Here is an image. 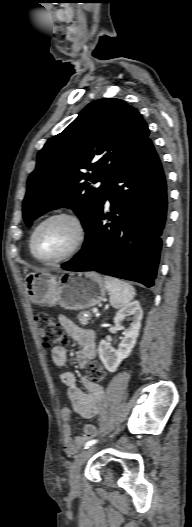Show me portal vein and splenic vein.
I'll return each instance as SVG.
<instances>
[{"label": "portal vein and splenic vein", "mask_w": 192, "mask_h": 527, "mask_svg": "<svg viewBox=\"0 0 192 527\" xmlns=\"http://www.w3.org/2000/svg\"><path fill=\"white\" fill-rule=\"evenodd\" d=\"M92 311H93V313H95V314L98 313V309H96V308L93 309Z\"/></svg>", "instance_id": "portal-vein-and-splenic-vein-1"}]
</instances>
